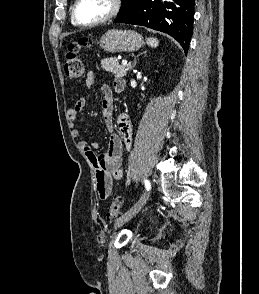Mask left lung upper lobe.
Listing matches in <instances>:
<instances>
[{
  "label": "left lung upper lobe",
  "instance_id": "obj_1",
  "mask_svg": "<svg viewBox=\"0 0 259 294\" xmlns=\"http://www.w3.org/2000/svg\"><path fill=\"white\" fill-rule=\"evenodd\" d=\"M122 1H123V6H122V10L119 13V15H122V14L130 11L134 6V0H122Z\"/></svg>",
  "mask_w": 259,
  "mask_h": 294
}]
</instances>
